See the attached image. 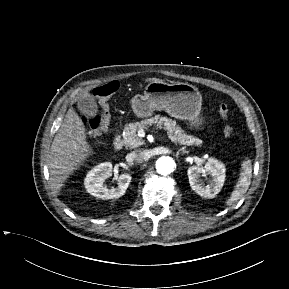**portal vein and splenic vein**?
Listing matches in <instances>:
<instances>
[{
  "instance_id": "1",
  "label": "portal vein and splenic vein",
  "mask_w": 289,
  "mask_h": 289,
  "mask_svg": "<svg viewBox=\"0 0 289 289\" xmlns=\"http://www.w3.org/2000/svg\"><path fill=\"white\" fill-rule=\"evenodd\" d=\"M139 133H140V135H141L142 137L145 135V133H144V130H143V129H141V130L139 131Z\"/></svg>"
}]
</instances>
